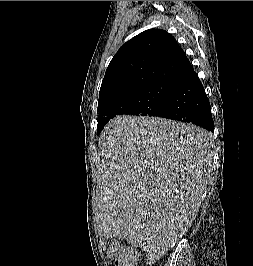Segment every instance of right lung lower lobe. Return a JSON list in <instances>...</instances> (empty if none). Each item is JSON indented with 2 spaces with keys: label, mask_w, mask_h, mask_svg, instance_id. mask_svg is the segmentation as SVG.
Returning <instances> with one entry per match:
<instances>
[{
  "label": "right lung lower lobe",
  "mask_w": 253,
  "mask_h": 266,
  "mask_svg": "<svg viewBox=\"0 0 253 266\" xmlns=\"http://www.w3.org/2000/svg\"><path fill=\"white\" fill-rule=\"evenodd\" d=\"M159 117L214 131L210 102L193 68L172 82L167 104Z\"/></svg>",
  "instance_id": "right-lung-lower-lobe-1"
}]
</instances>
